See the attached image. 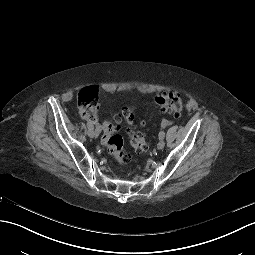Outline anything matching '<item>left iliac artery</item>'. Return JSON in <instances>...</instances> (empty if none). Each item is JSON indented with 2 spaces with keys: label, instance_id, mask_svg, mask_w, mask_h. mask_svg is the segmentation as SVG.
Instances as JSON below:
<instances>
[{
  "label": "left iliac artery",
  "instance_id": "44dca946",
  "mask_svg": "<svg viewBox=\"0 0 255 255\" xmlns=\"http://www.w3.org/2000/svg\"><path fill=\"white\" fill-rule=\"evenodd\" d=\"M165 137V132L164 131H160L159 132V139H163Z\"/></svg>",
  "mask_w": 255,
  "mask_h": 255
}]
</instances>
